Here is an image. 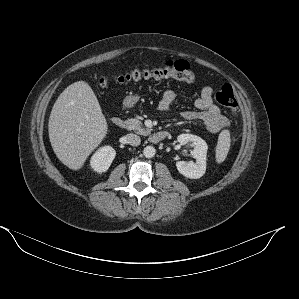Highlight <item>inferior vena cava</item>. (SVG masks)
Here are the masks:
<instances>
[{"mask_svg":"<svg viewBox=\"0 0 299 299\" xmlns=\"http://www.w3.org/2000/svg\"><path fill=\"white\" fill-rule=\"evenodd\" d=\"M126 142L131 146H138L141 143V139L138 135L130 133L126 135Z\"/></svg>","mask_w":299,"mask_h":299,"instance_id":"obj_1","label":"inferior vena cava"}]
</instances>
